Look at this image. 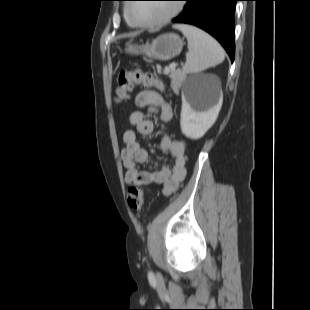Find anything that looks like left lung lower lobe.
Returning a JSON list of instances; mask_svg holds the SVG:
<instances>
[{"instance_id": "obj_1", "label": "left lung lower lobe", "mask_w": 310, "mask_h": 310, "mask_svg": "<svg viewBox=\"0 0 310 310\" xmlns=\"http://www.w3.org/2000/svg\"><path fill=\"white\" fill-rule=\"evenodd\" d=\"M183 12L172 20L174 23L197 26L224 47L231 61L235 57L234 13L236 1L240 0H184Z\"/></svg>"}]
</instances>
